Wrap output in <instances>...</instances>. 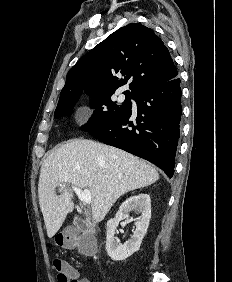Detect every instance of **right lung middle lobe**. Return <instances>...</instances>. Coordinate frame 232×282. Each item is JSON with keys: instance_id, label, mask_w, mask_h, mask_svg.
I'll use <instances>...</instances> for the list:
<instances>
[{"instance_id": "dd1d6c3e", "label": "right lung middle lobe", "mask_w": 232, "mask_h": 282, "mask_svg": "<svg viewBox=\"0 0 232 282\" xmlns=\"http://www.w3.org/2000/svg\"><path fill=\"white\" fill-rule=\"evenodd\" d=\"M113 93L114 91H104L89 94L91 96L90 107L95 110L88 123L82 127V130L91 131L102 127L111 120L130 110L132 107L131 99H134L135 95L129 92H123L125 95V101L122 104H116V102L111 100V95ZM79 97L80 94H75L60 100L56 107L54 116L56 118L65 115L69 116L72 113V109Z\"/></svg>"}]
</instances>
